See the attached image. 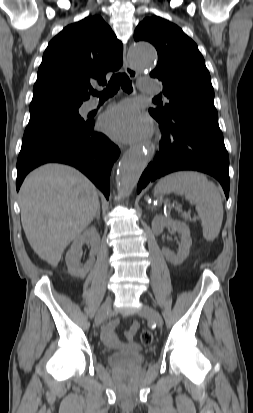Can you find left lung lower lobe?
Masks as SVG:
<instances>
[{
    "label": "left lung lower lobe",
    "mask_w": 253,
    "mask_h": 413,
    "mask_svg": "<svg viewBox=\"0 0 253 413\" xmlns=\"http://www.w3.org/2000/svg\"><path fill=\"white\" fill-rule=\"evenodd\" d=\"M157 121L161 125V149L143 172L137 192L171 172L196 170L215 177L228 198L229 156L218 119L186 114L169 121Z\"/></svg>",
    "instance_id": "1"
}]
</instances>
